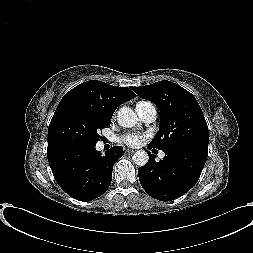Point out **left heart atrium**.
<instances>
[{"label": "left heart atrium", "mask_w": 253, "mask_h": 253, "mask_svg": "<svg viewBox=\"0 0 253 253\" xmlns=\"http://www.w3.org/2000/svg\"><path fill=\"white\" fill-rule=\"evenodd\" d=\"M146 137V135L141 133H127L124 134L120 140L126 145L137 146Z\"/></svg>", "instance_id": "1"}]
</instances>
